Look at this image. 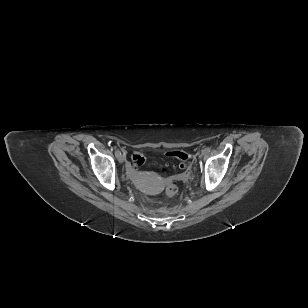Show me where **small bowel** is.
I'll use <instances>...</instances> for the list:
<instances>
[{"mask_svg":"<svg viewBox=\"0 0 308 308\" xmlns=\"http://www.w3.org/2000/svg\"><path fill=\"white\" fill-rule=\"evenodd\" d=\"M128 168H129L130 172H133V167L131 165H128Z\"/></svg>","mask_w":308,"mask_h":308,"instance_id":"obj_1","label":"small bowel"}]
</instances>
